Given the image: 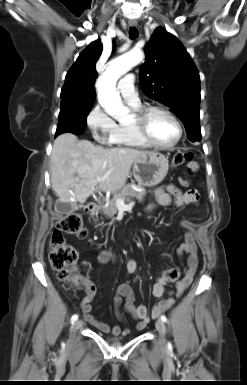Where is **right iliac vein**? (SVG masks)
Here are the masks:
<instances>
[{"mask_svg": "<svg viewBox=\"0 0 247 385\" xmlns=\"http://www.w3.org/2000/svg\"><path fill=\"white\" fill-rule=\"evenodd\" d=\"M82 326V321L81 320H77L75 321L72 326H71V330H70V334L71 336Z\"/></svg>", "mask_w": 247, "mask_h": 385, "instance_id": "1", "label": "right iliac vein"}]
</instances>
